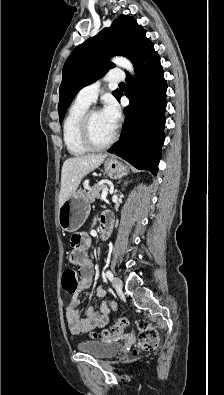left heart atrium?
<instances>
[{
	"mask_svg": "<svg viewBox=\"0 0 224 395\" xmlns=\"http://www.w3.org/2000/svg\"><path fill=\"white\" fill-rule=\"evenodd\" d=\"M101 114L103 117L116 128L120 120V109L118 104L113 98H107L101 109Z\"/></svg>",
	"mask_w": 224,
	"mask_h": 395,
	"instance_id": "obj_1",
	"label": "left heart atrium"
}]
</instances>
